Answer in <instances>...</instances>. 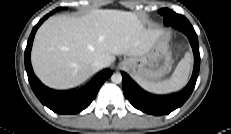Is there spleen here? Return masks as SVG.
<instances>
[{
	"label": "spleen",
	"instance_id": "1",
	"mask_svg": "<svg viewBox=\"0 0 231 134\" xmlns=\"http://www.w3.org/2000/svg\"><path fill=\"white\" fill-rule=\"evenodd\" d=\"M192 62L193 56L190 52H187L169 79L162 82L138 81V83L142 88L152 93L164 94L178 91L182 89L188 81Z\"/></svg>",
	"mask_w": 231,
	"mask_h": 134
}]
</instances>
